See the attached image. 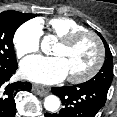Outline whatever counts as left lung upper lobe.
Instances as JSON below:
<instances>
[{"label": "left lung upper lobe", "instance_id": "5c2ea615", "mask_svg": "<svg viewBox=\"0 0 117 117\" xmlns=\"http://www.w3.org/2000/svg\"><path fill=\"white\" fill-rule=\"evenodd\" d=\"M98 35L100 36V38L102 39L104 43L105 50H106V59H105L103 67L100 69L98 74L85 83L92 85L94 87H97V88H101L104 91L108 92V89L111 85L112 78H113L112 54L109 49V46L107 45L102 35L100 33H98Z\"/></svg>", "mask_w": 117, "mask_h": 117}]
</instances>
